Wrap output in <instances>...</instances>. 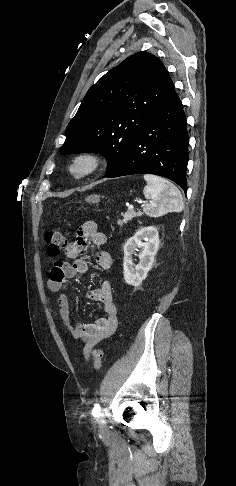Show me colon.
I'll use <instances>...</instances> for the list:
<instances>
[{
    "label": "colon",
    "mask_w": 236,
    "mask_h": 486,
    "mask_svg": "<svg viewBox=\"0 0 236 486\" xmlns=\"http://www.w3.org/2000/svg\"><path fill=\"white\" fill-rule=\"evenodd\" d=\"M46 241L48 244V253L51 256H55L60 253L67 246L66 236L57 230L50 231L46 234ZM91 356L93 360V366L96 371H99L102 367L103 353L101 349L95 348L91 350Z\"/></svg>",
    "instance_id": "colon-1"
}]
</instances>
